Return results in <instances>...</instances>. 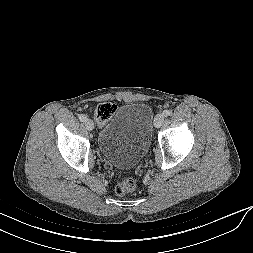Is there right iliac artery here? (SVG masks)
<instances>
[{
	"instance_id": "obj_1",
	"label": "right iliac artery",
	"mask_w": 253,
	"mask_h": 253,
	"mask_svg": "<svg viewBox=\"0 0 253 253\" xmlns=\"http://www.w3.org/2000/svg\"><path fill=\"white\" fill-rule=\"evenodd\" d=\"M87 117L84 114L79 115V120L85 122Z\"/></svg>"
}]
</instances>
